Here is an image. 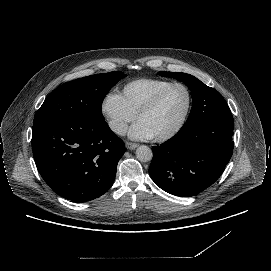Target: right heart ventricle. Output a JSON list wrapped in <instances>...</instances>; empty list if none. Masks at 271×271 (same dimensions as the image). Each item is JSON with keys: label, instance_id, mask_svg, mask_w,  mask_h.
Returning <instances> with one entry per match:
<instances>
[{"label": "right heart ventricle", "instance_id": "e07e8e85", "mask_svg": "<svg viewBox=\"0 0 271 271\" xmlns=\"http://www.w3.org/2000/svg\"><path fill=\"white\" fill-rule=\"evenodd\" d=\"M172 81L164 78H140L126 82L121 87L120 96L124 105L134 115L148 104L152 98Z\"/></svg>", "mask_w": 271, "mask_h": 271}]
</instances>
